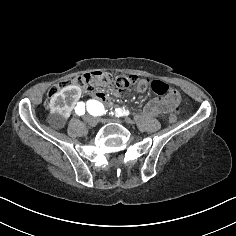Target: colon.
Masks as SVG:
<instances>
[{
  "instance_id": "5ec220e1",
  "label": "colon",
  "mask_w": 236,
  "mask_h": 236,
  "mask_svg": "<svg viewBox=\"0 0 236 236\" xmlns=\"http://www.w3.org/2000/svg\"><path fill=\"white\" fill-rule=\"evenodd\" d=\"M78 85L89 95L102 92L103 90L114 88L120 92H127L132 88L139 91H145L149 87L158 95H167L175 101V111H179V96L174 89H171L167 84L161 81H148L136 75H123L114 77L110 73L103 71H92L76 77L74 79L63 80L56 85L50 87L48 96L52 97L61 89L69 85ZM177 117L175 113L169 114L165 117L168 123H174Z\"/></svg>"
}]
</instances>
